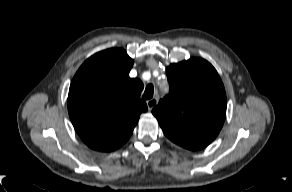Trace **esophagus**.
Segmentation results:
<instances>
[{"label":"esophagus","mask_w":292,"mask_h":192,"mask_svg":"<svg viewBox=\"0 0 292 192\" xmlns=\"http://www.w3.org/2000/svg\"><path fill=\"white\" fill-rule=\"evenodd\" d=\"M158 103V99L157 98H152L150 100L147 101V107L149 110H152Z\"/></svg>","instance_id":"obj_1"}]
</instances>
